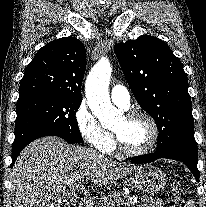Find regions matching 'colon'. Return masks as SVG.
Here are the masks:
<instances>
[{
	"label": "colon",
	"mask_w": 206,
	"mask_h": 207,
	"mask_svg": "<svg viewBox=\"0 0 206 207\" xmlns=\"http://www.w3.org/2000/svg\"><path fill=\"white\" fill-rule=\"evenodd\" d=\"M183 190L179 184H175L168 192V206L169 207H182ZM77 204H70L66 207H76Z\"/></svg>",
	"instance_id": "1"
}]
</instances>
